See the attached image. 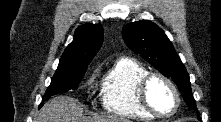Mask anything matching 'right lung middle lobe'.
<instances>
[{
	"instance_id": "dd1d6c3e",
	"label": "right lung middle lobe",
	"mask_w": 221,
	"mask_h": 122,
	"mask_svg": "<svg viewBox=\"0 0 221 122\" xmlns=\"http://www.w3.org/2000/svg\"><path fill=\"white\" fill-rule=\"evenodd\" d=\"M86 70L87 68L77 70L57 69L51 79V84L43 97L40 108L51 96L67 92L69 90H76L84 77Z\"/></svg>"
}]
</instances>
